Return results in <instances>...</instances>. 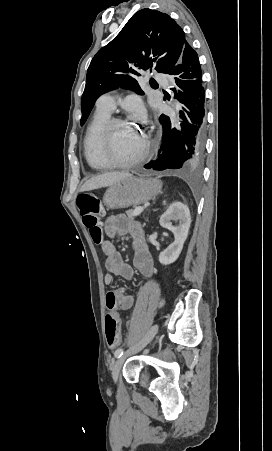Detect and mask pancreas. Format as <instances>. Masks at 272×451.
<instances>
[{"label":"pancreas","instance_id":"1","mask_svg":"<svg viewBox=\"0 0 272 451\" xmlns=\"http://www.w3.org/2000/svg\"><path fill=\"white\" fill-rule=\"evenodd\" d=\"M126 214L128 218H131V220H134V218H136V216H134V210H127Z\"/></svg>","mask_w":272,"mask_h":451}]
</instances>
